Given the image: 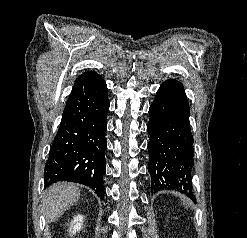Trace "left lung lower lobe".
Instances as JSON below:
<instances>
[{"instance_id":"1","label":"left lung lower lobe","mask_w":247,"mask_h":238,"mask_svg":"<svg viewBox=\"0 0 247 238\" xmlns=\"http://www.w3.org/2000/svg\"><path fill=\"white\" fill-rule=\"evenodd\" d=\"M149 114L151 189H174L191 197L194 139L189 124L190 108L182 84L174 79L165 81L156 93Z\"/></svg>"}]
</instances>
